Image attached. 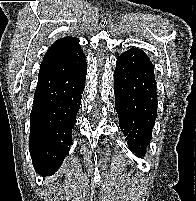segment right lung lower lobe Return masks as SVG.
<instances>
[{
	"label": "right lung lower lobe",
	"instance_id": "right-lung-lower-lobe-1",
	"mask_svg": "<svg viewBox=\"0 0 196 201\" xmlns=\"http://www.w3.org/2000/svg\"><path fill=\"white\" fill-rule=\"evenodd\" d=\"M86 72L85 58L41 63L30 114L29 151L35 170L43 176L54 174L70 150Z\"/></svg>",
	"mask_w": 196,
	"mask_h": 201
}]
</instances>
